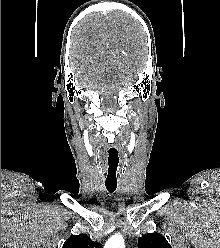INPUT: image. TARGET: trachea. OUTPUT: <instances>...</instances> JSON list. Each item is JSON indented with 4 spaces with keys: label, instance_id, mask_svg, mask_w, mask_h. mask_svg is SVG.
<instances>
[{
    "label": "trachea",
    "instance_id": "1",
    "mask_svg": "<svg viewBox=\"0 0 220 248\" xmlns=\"http://www.w3.org/2000/svg\"><path fill=\"white\" fill-rule=\"evenodd\" d=\"M105 186H106V189L110 192V193H113L116 188H117V184H106L105 183Z\"/></svg>",
    "mask_w": 220,
    "mask_h": 248
}]
</instances>
